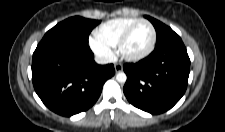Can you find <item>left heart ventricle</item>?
I'll list each match as a JSON object with an SVG mask.
<instances>
[{
    "label": "left heart ventricle",
    "instance_id": "b2bd125f",
    "mask_svg": "<svg viewBox=\"0 0 225 132\" xmlns=\"http://www.w3.org/2000/svg\"><path fill=\"white\" fill-rule=\"evenodd\" d=\"M151 38L152 31L150 26L146 23H140L132 31L124 46V51L129 55L139 54L148 47Z\"/></svg>",
    "mask_w": 225,
    "mask_h": 132
}]
</instances>
